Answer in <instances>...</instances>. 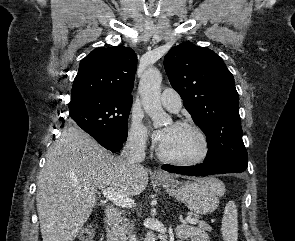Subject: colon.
<instances>
[{
    "mask_svg": "<svg viewBox=\"0 0 295 241\" xmlns=\"http://www.w3.org/2000/svg\"><path fill=\"white\" fill-rule=\"evenodd\" d=\"M95 228L93 225L89 224L82 228L79 238L80 241H92L94 237Z\"/></svg>",
    "mask_w": 295,
    "mask_h": 241,
    "instance_id": "5ec220e1",
    "label": "colon"
}]
</instances>
